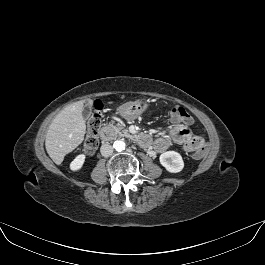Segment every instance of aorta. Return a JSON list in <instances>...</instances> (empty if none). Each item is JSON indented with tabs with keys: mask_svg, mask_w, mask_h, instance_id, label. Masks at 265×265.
<instances>
[{
	"mask_svg": "<svg viewBox=\"0 0 265 265\" xmlns=\"http://www.w3.org/2000/svg\"><path fill=\"white\" fill-rule=\"evenodd\" d=\"M113 148L118 151V152H121L123 150H125L126 148V144L123 140H116L114 143H113Z\"/></svg>",
	"mask_w": 265,
	"mask_h": 265,
	"instance_id": "obj_1",
	"label": "aorta"
}]
</instances>
